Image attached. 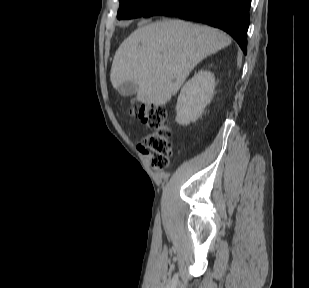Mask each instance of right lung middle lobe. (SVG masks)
<instances>
[{
	"label": "right lung middle lobe",
	"instance_id": "right-lung-middle-lobe-1",
	"mask_svg": "<svg viewBox=\"0 0 309 288\" xmlns=\"http://www.w3.org/2000/svg\"><path fill=\"white\" fill-rule=\"evenodd\" d=\"M120 9L117 18L130 19L143 16L147 11L153 9L155 6L164 0H119Z\"/></svg>",
	"mask_w": 309,
	"mask_h": 288
}]
</instances>
